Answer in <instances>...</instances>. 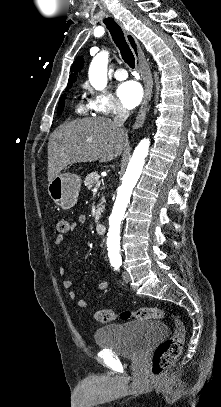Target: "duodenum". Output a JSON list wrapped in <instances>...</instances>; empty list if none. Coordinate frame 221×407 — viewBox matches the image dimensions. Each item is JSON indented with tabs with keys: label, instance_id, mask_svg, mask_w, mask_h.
Here are the masks:
<instances>
[{
	"label": "duodenum",
	"instance_id": "1",
	"mask_svg": "<svg viewBox=\"0 0 221 407\" xmlns=\"http://www.w3.org/2000/svg\"><path fill=\"white\" fill-rule=\"evenodd\" d=\"M105 229H106L105 224L100 223V222L96 224V232H97L99 235L104 234Z\"/></svg>",
	"mask_w": 221,
	"mask_h": 407
}]
</instances>
